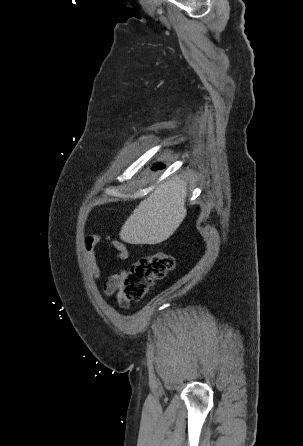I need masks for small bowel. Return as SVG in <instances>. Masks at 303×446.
Instances as JSON below:
<instances>
[{
	"label": "small bowel",
	"instance_id": "small-bowel-1",
	"mask_svg": "<svg viewBox=\"0 0 303 446\" xmlns=\"http://www.w3.org/2000/svg\"><path fill=\"white\" fill-rule=\"evenodd\" d=\"M102 238H103L102 235L91 234L86 236V238L84 239L85 258L90 277L93 280H98L100 277V268L96 260L95 248ZM107 239L110 241L112 247L114 248L116 256L120 260H126L129 256V252L125 244L117 239H112L110 237H107ZM126 274L127 271L125 269H113L112 274H110L106 278L103 284L104 294L107 297L116 294L117 299L122 306L127 305V302L125 301L123 294V287Z\"/></svg>",
	"mask_w": 303,
	"mask_h": 446
}]
</instances>
